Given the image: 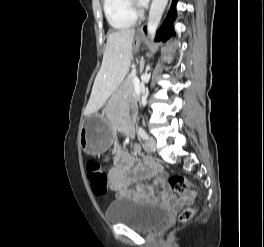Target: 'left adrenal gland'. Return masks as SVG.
Here are the masks:
<instances>
[{"label": "left adrenal gland", "mask_w": 264, "mask_h": 247, "mask_svg": "<svg viewBox=\"0 0 264 247\" xmlns=\"http://www.w3.org/2000/svg\"><path fill=\"white\" fill-rule=\"evenodd\" d=\"M144 64H145V61L142 60V62H141V71H143V69H144Z\"/></svg>", "instance_id": "1"}]
</instances>
